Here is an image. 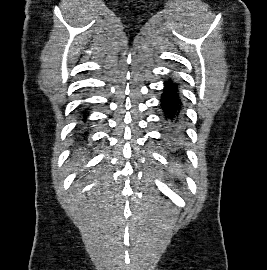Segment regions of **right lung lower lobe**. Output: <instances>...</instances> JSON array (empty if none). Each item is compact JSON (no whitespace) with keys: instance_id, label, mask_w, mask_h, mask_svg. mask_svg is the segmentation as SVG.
I'll list each match as a JSON object with an SVG mask.
<instances>
[{"instance_id":"right-lung-lower-lobe-1","label":"right lung lower lobe","mask_w":267,"mask_h":270,"mask_svg":"<svg viewBox=\"0 0 267 270\" xmlns=\"http://www.w3.org/2000/svg\"><path fill=\"white\" fill-rule=\"evenodd\" d=\"M86 110H88V109H85V110L82 111V116H81V119L83 120L84 123H85V119L87 118V115H88ZM87 134H88V132H86V131H84L82 133L83 137H86Z\"/></svg>"}]
</instances>
